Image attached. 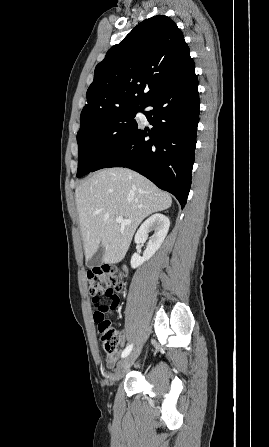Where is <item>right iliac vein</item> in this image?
Listing matches in <instances>:
<instances>
[{
	"instance_id": "1",
	"label": "right iliac vein",
	"mask_w": 269,
	"mask_h": 447,
	"mask_svg": "<svg viewBox=\"0 0 269 447\" xmlns=\"http://www.w3.org/2000/svg\"><path fill=\"white\" fill-rule=\"evenodd\" d=\"M140 353V347L134 350L129 356L125 357L118 363L117 369L115 371L114 378L120 379L132 366L136 358Z\"/></svg>"
}]
</instances>
